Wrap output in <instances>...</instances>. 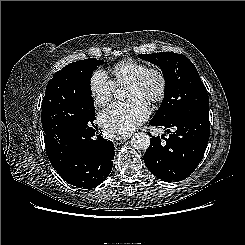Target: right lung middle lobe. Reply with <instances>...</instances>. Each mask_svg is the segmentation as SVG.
Listing matches in <instances>:
<instances>
[{
	"mask_svg": "<svg viewBox=\"0 0 245 245\" xmlns=\"http://www.w3.org/2000/svg\"><path fill=\"white\" fill-rule=\"evenodd\" d=\"M103 63L102 60L90 58L66 65L71 86L59 114L53 121L54 127L84 130L93 125L94 101L90 80L93 70Z\"/></svg>",
	"mask_w": 245,
	"mask_h": 245,
	"instance_id": "obj_1",
	"label": "right lung middle lobe"
}]
</instances>
